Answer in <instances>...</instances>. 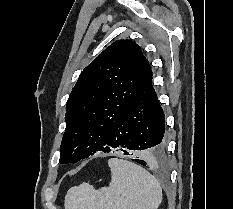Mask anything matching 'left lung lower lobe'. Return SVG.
<instances>
[{
    "mask_svg": "<svg viewBox=\"0 0 233 209\" xmlns=\"http://www.w3.org/2000/svg\"><path fill=\"white\" fill-rule=\"evenodd\" d=\"M151 79L152 70L144 77L125 111L112 126L103 150L110 152L120 148L126 155H129L126 150H146L144 160L132 159L145 167L164 162L165 117Z\"/></svg>",
    "mask_w": 233,
    "mask_h": 209,
    "instance_id": "left-lung-lower-lobe-1",
    "label": "left lung lower lobe"
}]
</instances>
